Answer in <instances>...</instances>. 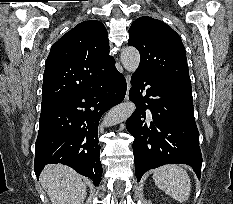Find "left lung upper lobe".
Instances as JSON below:
<instances>
[{
  "instance_id": "5c2ea615",
  "label": "left lung upper lobe",
  "mask_w": 233,
  "mask_h": 204,
  "mask_svg": "<svg viewBox=\"0 0 233 204\" xmlns=\"http://www.w3.org/2000/svg\"><path fill=\"white\" fill-rule=\"evenodd\" d=\"M128 44L140 52L137 71L159 81L191 87L184 45L170 26L151 17H140L129 29Z\"/></svg>"
}]
</instances>
